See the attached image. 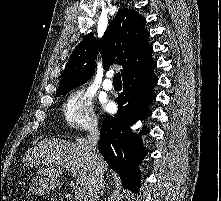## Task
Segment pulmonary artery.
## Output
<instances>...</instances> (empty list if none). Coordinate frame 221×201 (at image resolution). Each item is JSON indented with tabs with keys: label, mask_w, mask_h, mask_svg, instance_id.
Segmentation results:
<instances>
[{
	"label": "pulmonary artery",
	"mask_w": 221,
	"mask_h": 201,
	"mask_svg": "<svg viewBox=\"0 0 221 201\" xmlns=\"http://www.w3.org/2000/svg\"><path fill=\"white\" fill-rule=\"evenodd\" d=\"M112 76V73H107L106 79L103 81V88L107 91H110L113 89V83L111 82L110 78Z\"/></svg>",
	"instance_id": "pulmonary-artery-1"
}]
</instances>
